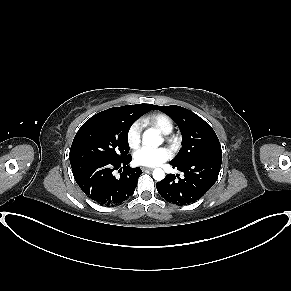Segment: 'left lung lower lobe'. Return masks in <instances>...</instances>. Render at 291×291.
Masks as SVG:
<instances>
[{"label":"left lung lower lobe","mask_w":291,"mask_h":291,"mask_svg":"<svg viewBox=\"0 0 291 291\" xmlns=\"http://www.w3.org/2000/svg\"><path fill=\"white\" fill-rule=\"evenodd\" d=\"M222 163V155L197 157L180 164H170L184 173L176 180L168 174L156 183L159 194L168 202L187 205L199 200L216 182Z\"/></svg>","instance_id":"left-lung-lower-lobe-1"}]
</instances>
